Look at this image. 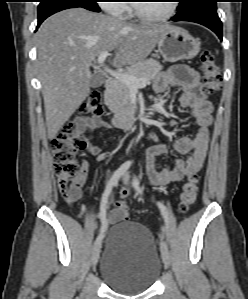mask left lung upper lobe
Segmentation results:
<instances>
[{"label":"left lung upper lobe","instance_id":"1","mask_svg":"<svg viewBox=\"0 0 248 299\" xmlns=\"http://www.w3.org/2000/svg\"><path fill=\"white\" fill-rule=\"evenodd\" d=\"M216 2L217 0H180L178 11L189 15L202 8L216 7Z\"/></svg>","mask_w":248,"mask_h":299}]
</instances>
